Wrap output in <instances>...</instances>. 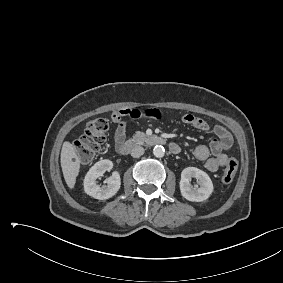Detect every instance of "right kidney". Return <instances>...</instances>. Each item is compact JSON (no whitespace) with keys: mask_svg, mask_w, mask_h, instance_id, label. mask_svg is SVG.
Returning <instances> with one entry per match:
<instances>
[{"mask_svg":"<svg viewBox=\"0 0 283 283\" xmlns=\"http://www.w3.org/2000/svg\"><path fill=\"white\" fill-rule=\"evenodd\" d=\"M113 167V163L110 160H101L95 163L84 179V191L89 196L95 199L106 200L114 196L120 188L121 179L117 172H114L112 176L106 179L107 185L99 186L97 179L106 171H110Z\"/></svg>","mask_w":283,"mask_h":283,"instance_id":"ca27d5eb","label":"right kidney"}]
</instances>
